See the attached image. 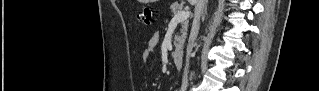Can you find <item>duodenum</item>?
Listing matches in <instances>:
<instances>
[{
    "label": "duodenum",
    "mask_w": 319,
    "mask_h": 91,
    "mask_svg": "<svg viewBox=\"0 0 319 91\" xmlns=\"http://www.w3.org/2000/svg\"><path fill=\"white\" fill-rule=\"evenodd\" d=\"M173 60L178 68H181L183 65V52L174 51L172 54Z\"/></svg>",
    "instance_id": "410a0bca"
}]
</instances>
